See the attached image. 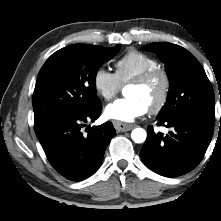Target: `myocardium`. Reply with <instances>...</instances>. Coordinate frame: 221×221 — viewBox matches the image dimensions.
<instances>
[{
  "label": "myocardium",
  "mask_w": 221,
  "mask_h": 221,
  "mask_svg": "<svg viewBox=\"0 0 221 221\" xmlns=\"http://www.w3.org/2000/svg\"><path fill=\"white\" fill-rule=\"evenodd\" d=\"M155 78H160L162 82L161 90L156 102L148 110L152 114L159 113L166 105L171 89V80L168 72L161 67L153 68L143 72L129 82V85L143 86Z\"/></svg>",
  "instance_id": "myocardium-1"
}]
</instances>
